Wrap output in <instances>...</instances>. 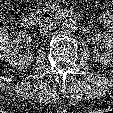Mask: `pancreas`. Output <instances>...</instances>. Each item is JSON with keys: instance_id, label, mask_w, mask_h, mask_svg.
<instances>
[{"instance_id": "obj_1", "label": "pancreas", "mask_w": 113, "mask_h": 113, "mask_svg": "<svg viewBox=\"0 0 113 113\" xmlns=\"http://www.w3.org/2000/svg\"><path fill=\"white\" fill-rule=\"evenodd\" d=\"M47 11H48V9H46V8L37 9V13H45V12H47Z\"/></svg>"}]
</instances>
